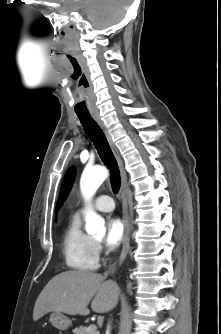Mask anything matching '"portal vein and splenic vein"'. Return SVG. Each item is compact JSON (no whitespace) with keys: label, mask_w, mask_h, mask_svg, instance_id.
<instances>
[{"label":"portal vein and splenic vein","mask_w":221,"mask_h":334,"mask_svg":"<svg viewBox=\"0 0 221 334\" xmlns=\"http://www.w3.org/2000/svg\"><path fill=\"white\" fill-rule=\"evenodd\" d=\"M96 330H97V327H96L95 324L89 325V327H88V331L89 332H95Z\"/></svg>","instance_id":"18ae733b"}]
</instances>
